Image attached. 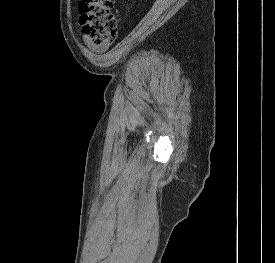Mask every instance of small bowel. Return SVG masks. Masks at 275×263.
Segmentation results:
<instances>
[{"label": "small bowel", "instance_id": "1", "mask_svg": "<svg viewBox=\"0 0 275 263\" xmlns=\"http://www.w3.org/2000/svg\"><path fill=\"white\" fill-rule=\"evenodd\" d=\"M84 41L90 47V49L96 53H101V52L105 51L108 47L107 44H103V45L95 44L86 36L84 37Z\"/></svg>", "mask_w": 275, "mask_h": 263}]
</instances>
